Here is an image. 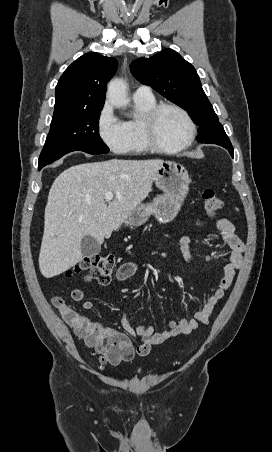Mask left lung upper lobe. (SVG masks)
Masks as SVG:
<instances>
[{
    "label": "left lung upper lobe",
    "instance_id": "1",
    "mask_svg": "<svg viewBox=\"0 0 272 452\" xmlns=\"http://www.w3.org/2000/svg\"><path fill=\"white\" fill-rule=\"evenodd\" d=\"M130 68L138 81L151 86L190 114L199 126L198 142L217 145L230 142L202 89L195 68L176 51L167 48L150 58H138Z\"/></svg>",
    "mask_w": 272,
    "mask_h": 452
}]
</instances>
